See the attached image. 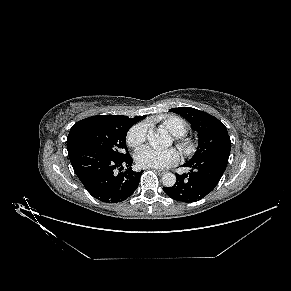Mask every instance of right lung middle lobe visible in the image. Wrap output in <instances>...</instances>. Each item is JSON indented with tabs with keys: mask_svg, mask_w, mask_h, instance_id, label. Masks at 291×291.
<instances>
[{
	"mask_svg": "<svg viewBox=\"0 0 291 291\" xmlns=\"http://www.w3.org/2000/svg\"><path fill=\"white\" fill-rule=\"evenodd\" d=\"M131 125L126 123H102L87 126L73 139L75 145L84 144L102 150L116 158L129 156L126 134Z\"/></svg>",
	"mask_w": 291,
	"mask_h": 291,
	"instance_id": "right-lung-middle-lobe-1",
	"label": "right lung middle lobe"
}]
</instances>
